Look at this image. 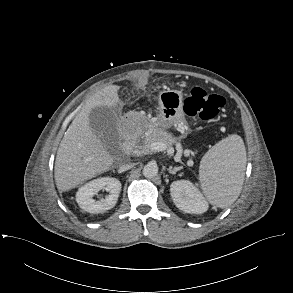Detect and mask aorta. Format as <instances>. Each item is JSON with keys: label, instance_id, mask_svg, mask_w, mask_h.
<instances>
[{"label": "aorta", "instance_id": "762f6f07", "mask_svg": "<svg viewBox=\"0 0 293 293\" xmlns=\"http://www.w3.org/2000/svg\"><path fill=\"white\" fill-rule=\"evenodd\" d=\"M142 173L146 178H154L158 174L157 164L155 162H149L144 166Z\"/></svg>", "mask_w": 293, "mask_h": 293}]
</instances>
